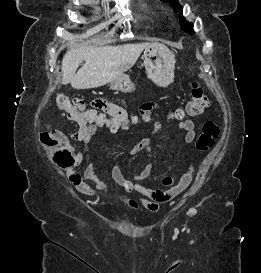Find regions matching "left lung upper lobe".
<instances>
[{
    "instance_id": "obj_1",
    "label": "left lung upper lobe",
    "mask_w": 261,
    "mask_h": 273,
    "mask_svg": "<svg viewBox=\"0 0 261 273\" xmlns=\"http://www.w3.org/2000/svg\"><path fill=\"white\" fill-rule=\"evenodd\" d=\"M164 2H169L171 5L174 6V9L175 11H179L180 9V26H181V29L184 30L185 32H188L189 34H193L194 31H193V24L186 21L185 18H183L182 16V8L180 6V4L178 3L177 0H163Z\"/></svg>"
}]
</instances>
